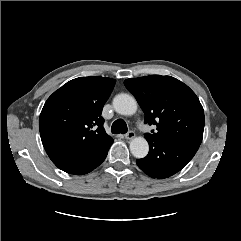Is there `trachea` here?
<instances>
[{
    "label": "trachea",
    "mask_w": 241,
    "mask_h": 241,
    "mask_svg": "<svg viewBox=\"0 0 241 241\" xmlns=\"http://www.w3.org/2000/svg\"><path fill=\"white\" fill-rule=\"evenodd\" d=\"M113 134L126 133L128 131L127 124L123 119H117L111 127Z\"/></svg>",
    "instance_id": "1"
}]
</instances>
